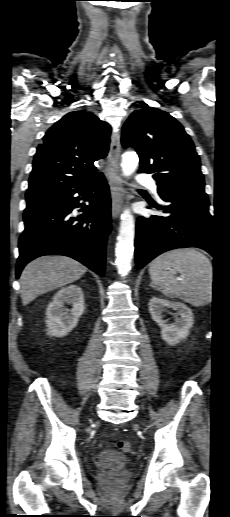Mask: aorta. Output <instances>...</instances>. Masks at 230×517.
Segmentation results:
<instances>
[{"label":"aorta","mask_w":230,"mask_h":517,"mask_svg":"<svg viewBox=\"0 0 230 517\" xmlns=\"http://www.w3.org/2000/svg\"><path fill=\"white\" fill-rule=\"evenodd\" d=\"M139 158L135 152H125L122 155V173L131 176L137 166ZM135 220L129 208H125L121 215L119 235L116 243V266L118 273L125 277L131 269V261L134 252Z\"/></svg>","instance_id":"aorta-1"}]
</instances>
